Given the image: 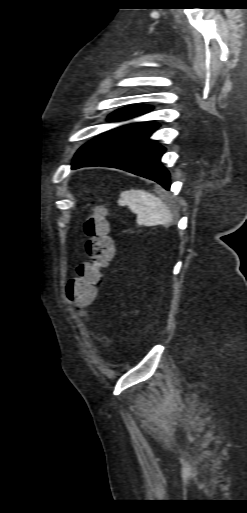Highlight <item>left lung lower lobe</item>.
Wrapping results in <instances>:
<instances>
[{
    "label": "left lung lower lobe",
    "instance_id": "1",
    "mask_svg": "<svg viewBox=\"0 0 247 513\" xmlns=\"http://www.w3.org/2000/svg\"><path fill=\"white\" fill-rule=\"evenodd\" d=\"M150 109L143 106L127 107L116 111L109 118L127 120ZM157 127L155 123H132L106 132L79 149L72 168H119L154 180L169 190L170 175L160 162L165 148L149 139Z\"/></svg>",
    "mask_w": 247,
    "mask_h": 513
}]
</instances>
